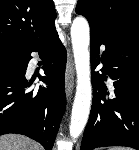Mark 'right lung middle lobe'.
Returning a JSON list of instances; mask_svg holds the SVG:
<instances>
[{
    "label": "right lung middle lobe",
    "mask_w": 139,
    "mask_h": 150,
    "mask_svg": "<svg viewBox=\"0 0 139 150\" xmlns=\"http://www.w3.org/2000/svg\"><path fill=\"white\" fill-rule=\"evenodd\" d=\"M21 50L7 45H0V58L16 56Z\"/></svg>",
    "instance_id": "dd1d6c3e"
}]
</instances>
